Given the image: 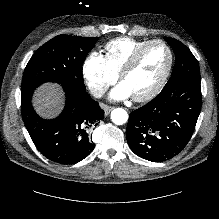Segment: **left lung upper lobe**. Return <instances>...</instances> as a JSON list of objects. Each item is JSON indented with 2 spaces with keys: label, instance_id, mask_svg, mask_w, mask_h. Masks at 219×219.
<instances>
[{
  "label": "left lung upper lobe",
  "instance_id": "1",
  "mask_svg": "<svg viewBox=\"0 0 219 219\" xmlns=\"http://www.w3.org/2000/svg\"><path fill=\"white\" fill-rule=\"evenodd\" d=\"M165 40L172 47L176 59L171 78L168 80L163 90H166L172 84L185 78L200 79L199 64L191 51L176 39L165 38Z\"/></svg>",
  "mask_w": 219,
  "mask_h": 219
}]
</instances>
